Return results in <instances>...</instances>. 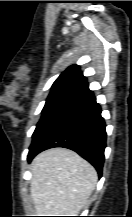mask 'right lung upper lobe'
<instances>
[{"label":"right lung upper lobe","mask_w":132,"mask_h":217,"mask_svg":"<svg viewBox=\"0 0 132 217\" xmlns=\"http://www.w3.org/2000/svg\"><path fill=\"white\" fill-rule=\"evenodd\" d=\"M51 93H66L76 98L92 93L89 90L86 77L77 65L67 68L52 85Z\"/></svg>","instance_id":"right-lung-upper-lobe-1"}]
</instances>
